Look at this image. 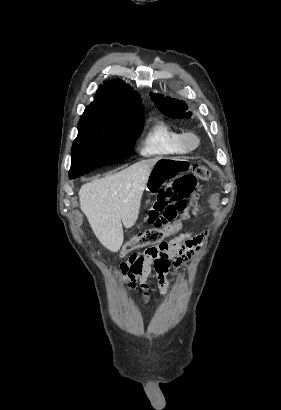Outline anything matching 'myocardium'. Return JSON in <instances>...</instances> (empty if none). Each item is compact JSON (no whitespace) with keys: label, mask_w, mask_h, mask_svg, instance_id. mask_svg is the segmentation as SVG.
<instances>
[{"label":"myocardium","mask_w":281,"mask_h":410,"mask_svg":"<svg viewBox=\"0 0 281 410\" xmlns=\"http://www.w3.org/2000/svg\"><path fill=\"white\" fill-rule=\"evenodd\" d=\"M182 140L187 151H194L199 148L201 144L200 136L192 131L184 132L182 135Z\"/></svg>","instance_id":"myocardium-1"}]
</instances>
